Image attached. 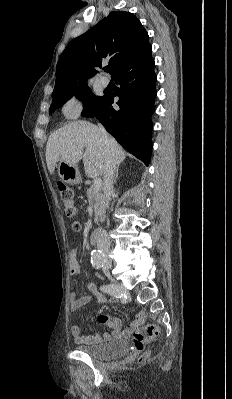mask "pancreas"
Here are the masks:
<instances>
[{"label":"pancreas","mask_w":232,"mask_h":399,"mask_svg":"<svg viewBox=\"0 0 232 399\" xmlns=\"http://www.w3.org/2000/svg\"><path fill=\"white\" fill-rule=\"evenodd\" d=\"M87 198L94 207L95 211V223H98V221H104L106 215H105V209L107 207L106 200L104 198V194H102V190H95L93 186H90L87 190Z\"/></svg>","instance_id":"obj_1"}]
</instances>
